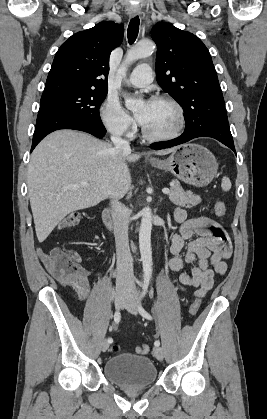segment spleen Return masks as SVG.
<instances>
[{
	"mask_svg": "<svg viewBox=\"0 0 267 419\" xmlns=\"http://www.w3.org/2000/svg\"><path fill=\"white\" fill-rule=\"evenodd\" d=\"M221 188L223 191H229L231 189V181L228 177L224 176L222 178Z\"/></svg>",
	"mask_w": 267,
	"mask_h": 419,
	"instance_id": "obj_1",
	"label": "spleen"
}]
</instances>
